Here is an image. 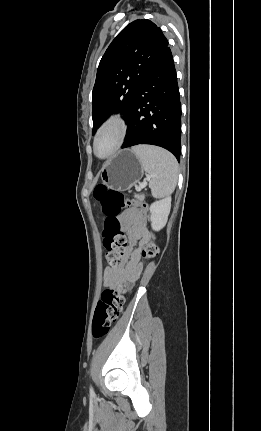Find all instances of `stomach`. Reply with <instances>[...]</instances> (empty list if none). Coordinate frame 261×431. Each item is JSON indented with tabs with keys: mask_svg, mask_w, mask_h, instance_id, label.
Masks as SVG:
<instances>
[{
	"mask_svg": "<svg viewBox=\"0 0 261 431\" xmlns=\"http://www.w3.org/2000/svg\"><path fill=\"white\" fill-rule=\"evenodd\" d=\"M143 167L129 150L115 154L102 168L101 179L109 188L124 191L136 185L143 176Z\"/></svg>",
	"mask_w": 261,
	"mask_h": 431,
	"instance_id": "1",
	"label": "stomach"
}]
</instances>
